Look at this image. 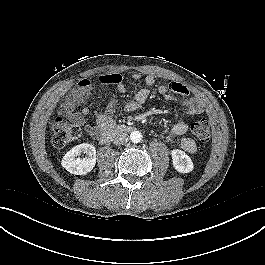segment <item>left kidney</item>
Instances as JSON below:
<instances>
[{"instance_id":"5707ae66","label":"left kidney","mask_w":265,"mask_h":265,"mask_svg":"<svg viewBox=\"0 0 265 265\" xmlns=\"http://www.w3.org/2000/svg\"><path fill=\"white\" fill-rule=\"evenodd\" d=\"M174 168L180 173H189L194 165L191 158L182 150L174 149L171 151Z\"/></svg>"}]
</instances>
